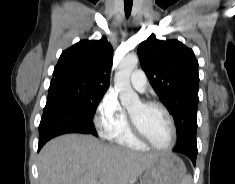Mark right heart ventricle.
<instances>
[{"label": "right heart ventricle", "instance_id": "1", "mask_svg": "<svg viewBox=\"0 0 235 184\" xmlns=\"http://www.w3.org/2000/svg\"><path fill=\"white\" fill-rule=\"evenodd\" d=\"M114 148L115 150L126 148L133 151H143L147 147L133 136L131 127L127 124L115 138Z\"/></svg>", "mask_w": 235, "mask_h": 184}]
</instances>
